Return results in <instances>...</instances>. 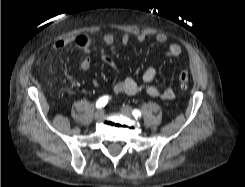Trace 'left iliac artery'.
<instances>
[{"label":"left iliac artery","instance_id":"1","mask_svg":"<svg viewBox=\"0 0 245 187\" xmlns=\"http://www.w3.org/2000/svg\"><path fill=\"white\" fill-rule=\"evenodd\" d=\"M132 114H133V116L135 118H140L141 115H142L141 112L139 110H137V109H134L133 112H132Z\"/></svg>","mask_w":245,"mask_h":187}]
</instances>
